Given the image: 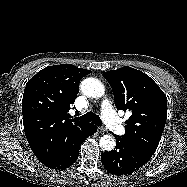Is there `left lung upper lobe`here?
<instances>
[{
  "mask_svg": "<svg viewBox=\"0 0 187 187\" xmlns=\"http://www.w3.org/2000/svg\"><path fill=\"white\" fill-rule=\"evenodd\" d=\"M118 109L132 112L119 136L126 146L154 154L167 119V98L152 78L124 66L104 73Z\"/></svg>",
  "mask_w": 187,
  "mask_h": 187,
  "instance_id": "obj_1",
  "label": "left lung upper lobe"
}]
</instances>
